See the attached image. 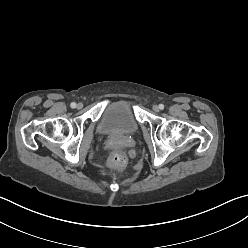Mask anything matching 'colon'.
Returning a JSON list of instances; mask_svg holds the SVG:
<instances>
[{"mask_svg":"<svg viewBox=\"0 0 248 248\" xmlns=\"http://www.w3.org/2000/svg\"><path fill=\"white\" fill-rule=\"evenodd\" d=\"M126 163V155L120 149H114L110 152L108 157V167L112 171L121 170Z\"/></svg>","mask_w":248,"mask_h":248,"instance_id":"colon-1","label":"colon"}]
</instances>
